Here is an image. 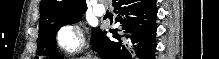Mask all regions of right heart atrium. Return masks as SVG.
<instances>
[{"mask_svg": "<svg viewBox=\"0 0 219 59\" xmlns=\"http://www.w3.org/2000/svg\"><path fill=\"white\" fill-rule=\"evenodd\" d=\"M55 43L64 54L72 55L84 47L85 39L77 24H66L57 31Z\"/></svg>", "mask_w": 219, "mask_h": 59, "instance_id": "right-heart-atrium-1", "label": "right heart atrium"}]
</instances>
